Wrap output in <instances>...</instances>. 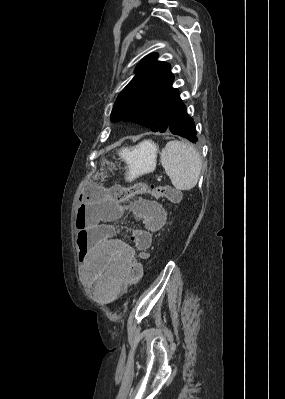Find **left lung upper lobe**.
Returning <instances> with one entry per match:
<instances>
[{
	"label": "left lung upper lobe",
	"mask_w": 285,
	"mask_h": 399,
	"mask_svg": "<svg viewBox=\"0 0 285 399\" xmlns=\"http://www.w3.org/2000/svg\"><path fill=\"white\" fill-rule=\"evenodd\" d=\"M156 53L146 56L136 67V75L118 95L111 121H131L165 132L180 103L179 91L172 87L170 65L157 61Z\"/></svg>",
	"instance_id": "5c2ea615"
}]
</instances>
